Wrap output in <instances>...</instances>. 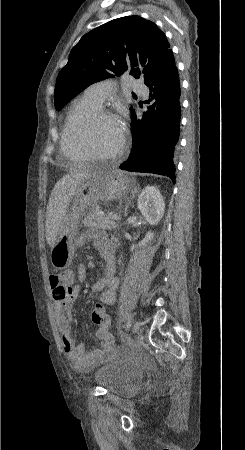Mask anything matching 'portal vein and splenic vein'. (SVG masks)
<instances>
[{
	"mask_svg": "<svg viewBox=\"0 0 245 450\" xmlns=\"http://www.w3.org/2000/svg\"><path fill=\"white\" fill-rule=\"evenodd\" d=\"M108 216H109L111 219L116 220V221H118V220L121 219L120 216H118L116 213H112V212L108 213Z\"/></svg>",
	"mask_w": 245,
	"mask_h": 450,
	"instance_id": "portal-vein-and-splenic-vein-1",
	"label": "portal vein and splenic vein"
}]
</instances>
